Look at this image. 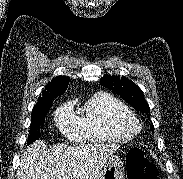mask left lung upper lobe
I'll return each instance as SVG.
<instances>
[{
	"label": "left lung upper lobe",
	"instance_id": "1",
	"mask_svg": "<svg viewBox=\"0 0 183 179\" xmlns=\"http://www.w3.org/2000/svg\"><path fill=\"white\" fill-rule=\"evenodd\" d=\"M101 84L112 90L114 94L120 95V97L131 104L136 110L147 114V117L150 118V108L144 98L143 92L131 80L124 76L120 78L119 75L109 76L106 74L101 78ZM152 130H154L153 125Z\"/></svg>",
	"mask_w": 183,
	"mask_h": 179
}]
</instances>
